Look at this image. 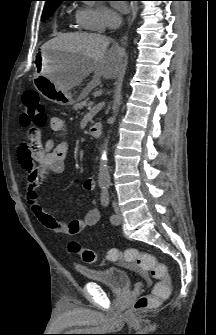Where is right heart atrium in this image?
Wrapping results in <instances>:
<instances>
[{
    "instance_id": "d8ad5b80",
    "label": "right heart atrium",
    "mask_w": 216,
    "mask_h": 335,
    "mask_svg": "<svg viewBox=\"0 0 216 335\" xmlns=\"http://www.w3.org/2000/svg\"><path fill=\"white\" fill-rule=\"evenodd\" d=\"M76 15L83 28L98 32H103L109 24L119 20L116 13L102 5L83 6Z\"/></svg>"
}]
</instances>
